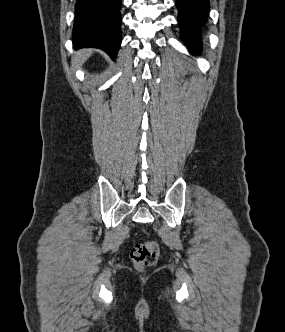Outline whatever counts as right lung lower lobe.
I'll use <instances>...</instances> for the list:
<instances>
[{
  "label": "right lung lower lobe",
  "mask_w": 285,
  "mask_h": 332,
  "mask_svg": "<svg viewBox=\"0 0 285 332\" xmlns=\"http://www.w3.org/2000/svg\"><path fill=\"white\" fill-rule=\"evenodd\" d=\"M121 0H77L73 46L100 48L115 58L121 44Z\"/></svg>",
  "instance_id": "1"
}]
</instances>
